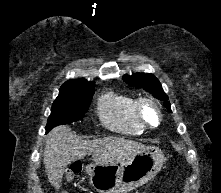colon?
Wrapping results in <instances>:
<instances>
[{"label": "colon", "instance_id": "obj_1", "mask_svg": "<svg viewBox=\"0 0 221 193\" xmlns=\"http://www.w3.org/2000/svg\"><path fill=\"white\" fill-rule=\"evenodd\" d=\"M80 170V166L79 165H73L72 167H71V169H70V171L72 172V173H76V172H78Z\"/></svg>", "mask_w": 221, "mask_h": 193}]
</instances>
